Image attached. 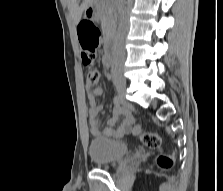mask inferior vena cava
Returning a JSON list of instances; mask_svg holds the SVG:
<instances>
[{
    "label": "inferior vena cava",
    "instance_id": "obj_1",
    "mask_svg": "<svg viewBox=\"0 0 223 191\" xmlns=\"http://www.w3.org/2000/svg\"><path fill=\"white\" fill-rule=\"evenodd\" d=\"M117 9L119 13V28L118 34L115 41V50L112 64V72L113 74L117 73V71L121 68L124 57H125V49L123 45V40L128 29V20L126 17V6L124 0H117Z\"/></svg>",
    "mask_w": 223,
    "mask_h": 191
}]
</instances>
